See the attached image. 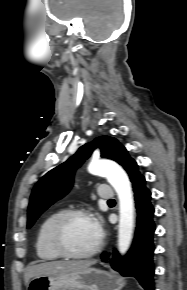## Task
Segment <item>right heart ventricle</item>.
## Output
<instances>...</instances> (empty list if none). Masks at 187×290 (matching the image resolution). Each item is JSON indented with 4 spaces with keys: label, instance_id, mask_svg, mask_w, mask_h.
Masks as SVG:
<instances>
[{
    "label": "right heart ventricle",
    "instance_id": "1",
    "mask_svg": "<svg viewBox=\"0 0 187 290\" xmlns=\"http://www.w3.org/2000/svg\"><path fill=\"white\" fill-rule=\"evenodd\" d=\"M64 211L58 209L50 213L41 223L35 240V250L37 256L44 261H53L59 259L61 256L56 253L50 242V230L54 221Z\"/></svg>",
    "mask_w": 187,
    "mask_h": 290
}]
</instances>
